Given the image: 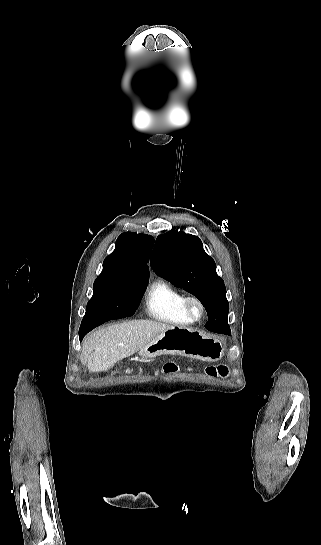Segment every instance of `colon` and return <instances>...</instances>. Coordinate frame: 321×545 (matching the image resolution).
Segmentation results:
<instances>
[{
	"label": "colon",
	"instance_id": "5ec220e1",
	"mask_svg": "<svg viewBox=\"0 0 321 545\" xmlns=\"http://www.w3.org/2000/svg\"><path fill=\"white\" fill-rule=\"evenodd\" d=\"M178 370V366L174 362H167L162 366L161 371L164 373H173ZM208 376L213 378H225L229 374V367L225 364L210 365L205 368Z\"/></svg>",
	"mask_w": 321,
	"mask_h": 545
}]
</instances>
